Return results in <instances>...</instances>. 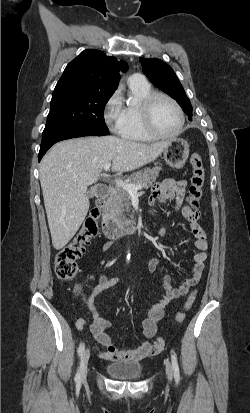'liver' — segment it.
Here are the masks:
<instances>
[{"mask_svg":"<svg viewBox=\"0 0 250 413\" xmlns=\"http://www.w3.org/2000/svg\"><path fill=\"white\" fill-rule=\"evenodd\" d=\"M168 141L151 145L116 136L75 138L55 144L40 164V183L52 238L60 250L72 239L89 210L87 187L96 183L107 163L128 172L158 158Z\"/></svg>","mask_w":250,"mask_h":413,"instance_id":"1","label":"liver"}]
</instances>
